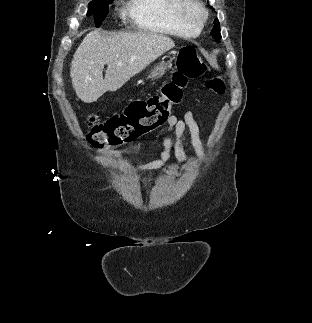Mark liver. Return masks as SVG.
<instances>
[{
	"instance_id": "1",
	"label": "liver",
	"mask_w": 312,
	"mask_h": 323,
	"mask_svg": "<svg viewBox=\"0 0 312 323\" xmlns=\"http://www.w3.org/2000/svg\"><path fill=\"white\" fill-rule=\"evenodd\" d=\"M174 46L171 38L156 32H120L114 36L101 30L89 32L71 62L73 88L85 104L97 102L105 92H116Z\"/></svg>"
}]
</instances>
